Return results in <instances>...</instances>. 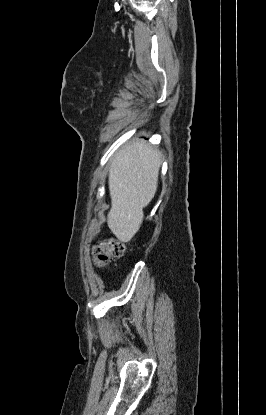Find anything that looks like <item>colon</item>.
I'll return each instance as SVG.
<instances>
[{
    "label": "colon",
    "instance_id": "colon-1",
    "mask_svg": "<svg viewBox=\"0 0 266 415\" xmlns=\"http://www.w3.org/2000/svg\"><path fill=\"white\" fill-rule=\"evenodd\" d=\"M125 244L117 239H106L93 247V257L97 266L102 267L112 258L121 257Z\"/></svg>",
    "mask_w": 266,
    "mask_h": 415
}]
</instances>
